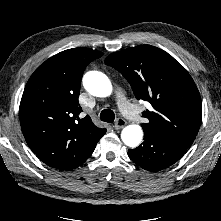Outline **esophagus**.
<instances>
[{
    "label": "esophagus",
    "mask_w": 221,
    "mask_h": 221,
    "mask_svg": "<svg viewBox=\"0 0 221 221\" xmlns=\"http://www.w3.org/2000/svg\"><path fill=\"white\" fill-rule=\"evenodd\" d=\"M127 122L123 118H118L114 124L115 129H122Z\"/></svg>",
    "instance_id": "1"
}]
</instances>
